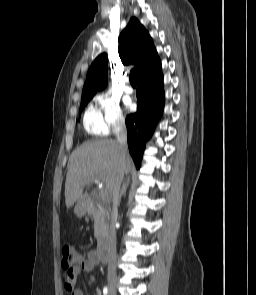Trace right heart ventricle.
Listing matches in <instances>:
<instances>
[{
	"label": "right heart ventricle",
	"instance_id": "obj_1",
	"mask_svg": "<svg viewBox=\"0 0 256 295\" xmlns=\"http://www.w3.org/2000/svg\"><path fill=\"white\" fill-rule=\"evenodd\" d=\"M83 125L85 131L90 135L100 136L106 133L99 111L92 105L88 106L84 113Z\"/></svg>",
	"mask_w": 256,
	"mask_h": 295
}]
</instances>
